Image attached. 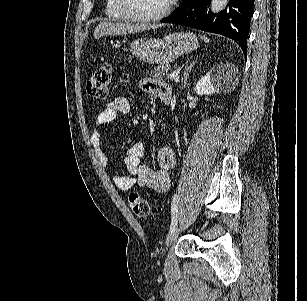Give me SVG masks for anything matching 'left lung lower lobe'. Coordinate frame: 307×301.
Listing matches in <instances>:
<instances>
[{"instance_id":"1","label":"left lung lower lobe","mask_w":307,"mask_h":301,"mask_svg":"<svg viewBox=\"0 0 307 301\" xmlns=\"http://www.w3.org/2000/svg\"><path fill=\"white\" fill-rule=\"evenodd\" d=\"M209 1L183 0L178 9L162 22L188 26L229 37L239 44L246 56V42L253 15L254 0H229L225 10L218 14L208 11Z\"/></svg>"}]
</instances>
